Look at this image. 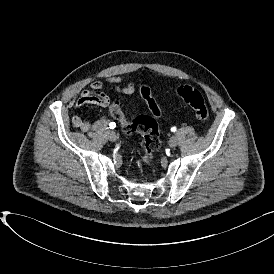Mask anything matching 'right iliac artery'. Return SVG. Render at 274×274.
<instances>
[{
  "mask_svg": "<svg viewBox=\"0 0 274 274\" xmlns=\"http://www.w3.org/2000/svg\"><path fill=\"white\" fill-rule=\"evenodd\" d=\"M110 129H114L116 127V124L114 122H111L109 124Z\"/></svg>",
  "mask_w": 274,
  "mask_h": 274,
  "instance_id": "82829eb1",
  "label": "right iliac artery"
}]
</instances>
